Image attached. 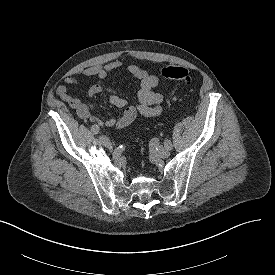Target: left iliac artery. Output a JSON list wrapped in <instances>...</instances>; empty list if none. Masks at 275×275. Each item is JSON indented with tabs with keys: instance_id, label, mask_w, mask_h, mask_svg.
<instances>
[{
	"instance_id": "obj_1",
	"label": "left iliac artery",
	"mask_w": 275,
	"mask_h": 275,
	"mask_svg": "<svg viewBox=\"0 0 275 275\" xmlns=\"http://www.w3.org/2000/svg\"><path fill=\"white\" fill-rule=\"evenodd\" d=\"M164 145H165V147L168 148L169 150L172 149V144H171V142H170L169 140H166V141L164 142Z\"/></svg>"
}]
</instances>
